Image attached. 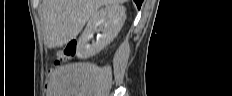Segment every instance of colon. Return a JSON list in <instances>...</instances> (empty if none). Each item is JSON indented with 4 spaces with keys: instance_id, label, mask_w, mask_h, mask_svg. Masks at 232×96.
<instances>
[{
    "instance_id": "1",
    "label": "colon",
    "mask_w": 232,
    "mask_h": 96,
    "mask_svg": "<svg viewBox=\"0 0 232 96\" xmlns=\"http://www.w3.org/2000/svg\"><path fill=\"white\" fill-rule=\"evenodd\" d=\"M77 43L74 40L69 41L58 53V62L69 60L76 54Z\"/></svg>"
}]
</instances>
